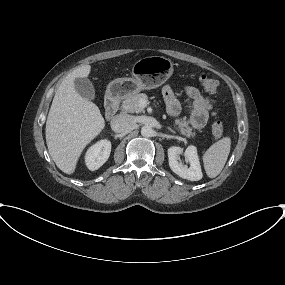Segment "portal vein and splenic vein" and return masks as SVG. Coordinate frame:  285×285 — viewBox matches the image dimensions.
<instances>
[{
    "label": "portal vein and splenic vein",
    "instance_id": "portal-vein-and-splenic-vein-1",
    "mask_svg": "<svg viewBox=\"0 0 285 285\" xmlns=\"http://www.w3.org/2000/svg\"><path fill=\"white\" fill-rule=\"evenodd\" d=\"M146 105H147L146 100H141V101H140V106H141V107L144 108Z\"/></svg>",
    "mask_w": 285,
    "mask_h": 285
}]
</instances>
